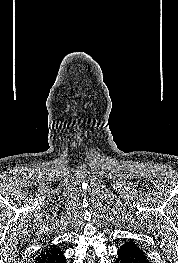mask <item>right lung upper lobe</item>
<instances>
[{"label": "right lung upper lobe", "mask_w": 178, "mask_h": 263, "mask_svg": "<svg viewBox=\"0 0 178 263\" xmlns=\"http://www.w3.org/2000/svg\"><path fill=\"white\" fill-rule=\"evenodd\" d=\"M60 249L56 245H50L44 248L40 254L35 258V262L39 263V261H42L43 259L51 256L52 254L58 252Z\"/></svg>", "instance_id": "right-lung-upper-lobe-1"}]
</instances>
